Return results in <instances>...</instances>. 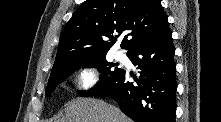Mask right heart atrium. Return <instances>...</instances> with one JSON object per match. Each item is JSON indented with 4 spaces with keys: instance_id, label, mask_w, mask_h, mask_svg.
I'll list each match as a JSON object with an SVG mask.
<instances>
[{
    "instance_id": "obj_1",
    "label": "right heart atrium",
    "mask_w": 221,
    "mask_h": 122,
    "mask_svg": "<svg viewBox=\"0 0 221 122\" xmlns=\"http://www.w3.org/2000/svg\"><path fill=\"white\" fill-rule=\"evenodd\" d=\"M99 81V73L93 66L82 67L74 79L75 87L82 91L93 89Z\"/></svg>"
}]
</instances>
